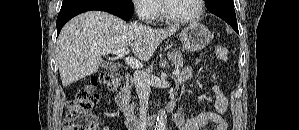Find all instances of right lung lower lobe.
Here are the masks:
<instances>
[{
    "mask_svg": "<svg viewBox=\"0 0 299 130\" xmlns=\"http://www.w3.org/2000/svg\"><path fill=\"white\" fill-rule=\"evenodd\" d=\"M131 0H63L57 17V36L64 24L74 16L91 10H100L129 20L133 14Z\"/></svg>",
    "mask_w": 299,
    "mask_h": 130,
    "instance_id": "1",
    "label": "right lung lower lobe"
}]
</instances>
